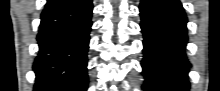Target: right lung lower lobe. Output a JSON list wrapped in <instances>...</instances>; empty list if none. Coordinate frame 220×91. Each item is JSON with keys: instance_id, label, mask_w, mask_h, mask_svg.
<instances>
[{"instance_id": "right-lung-lower-lobe-1", "label": "right lung lower lobe", "mask_w": 220, "mask_h": 91, "mask_svg": "<svg viewBox=\"0 0 220 91\" xmlns=\"http://www.w3.org/2000/svg\"><path fill=\"white\" fill-rule=\"evenodd\" d=\"M91 0H48L41 14L34 90L86 91Z\"/></svg>"}]
</instances>
